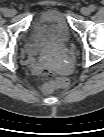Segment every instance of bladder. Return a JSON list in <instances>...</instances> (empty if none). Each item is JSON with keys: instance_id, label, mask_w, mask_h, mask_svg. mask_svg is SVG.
Instances as JSON below:
<instances>
[{"instance_id": "bladder-1", "label": "bladder", "mask_w": 104, "mask_h": 137, "mask_svg": "<svg viewBox=\"0 0 104 137\" xmlns=\"http://www.w3.org/2000/svg\"><path fill=\"white\" fill-rule=\"evenodd\" d=\"M71 41V28L56 9L43 11L31 24L25 44L29 56L52 58L63 53Z\"/></svg>"}]
</instances>
